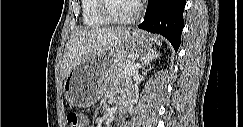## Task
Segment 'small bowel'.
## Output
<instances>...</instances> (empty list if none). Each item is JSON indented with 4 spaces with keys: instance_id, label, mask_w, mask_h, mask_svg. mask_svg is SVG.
<instances>
[{
    "instance_id": "1",
    "label": "small bowel",
    "mask_w": 243,
    "mask_h": 127,
    "mask_svg": "<svg viewBox=\"0 0 243 127\" xmlns=\"http://www.w3.org/2000/svg\"><path fill=\"white\" fill-rule=\"evenodd\" d=\"M122 93H123V95H129V92L126 89L123 90ZM84 126L85 127L89 126V120H88V118H84Z\"/></svg>"
}]
</instances>
